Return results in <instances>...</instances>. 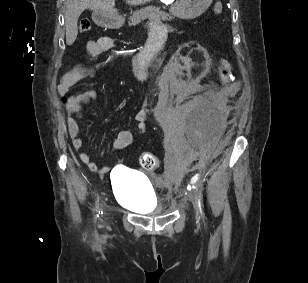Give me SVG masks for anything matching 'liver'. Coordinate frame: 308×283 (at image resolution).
<instances>
[{"instance_id":"obj_1","label":"liver","mask_w":308,"mask_h":283,"mask_svg":"<svg viewBox=\"0 0 308 283\" xmlns=\"http://www.w3.org/2000/svg\"><path fill=\"white\" fill-rule=\"evenodd\" d=\"M152 0H126L131 5H141ZM115 0H66L65 28L66 44L72 45L78 34V18L85 9L94 11L111 12Z\"/></svg>"}]
</instances>
